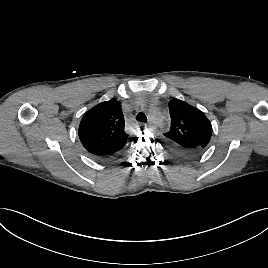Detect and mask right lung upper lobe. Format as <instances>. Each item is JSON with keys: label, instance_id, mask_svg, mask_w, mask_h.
I'll use <instances>...</instances> for the list:
<instances>
[{"label": "right lung upper lobe", "instance_id": "right-lung-upper-lobe-1", "mask_svg": "<svg viewBox=\"0 0 268 268\" xmlns=\"http://www.w3.org/2000/svg\"><path fill=\"white\" fill-rule=\"evenodd\" d=\"M121 103L115 98L88 110L79 125L83 147L96 157L113 156L126 145L128 135Z\"/></svg>", "mask_w": 268, "mask_h": 268}]
</instances>
